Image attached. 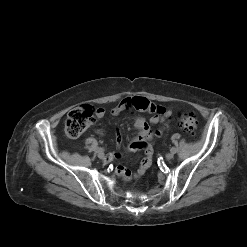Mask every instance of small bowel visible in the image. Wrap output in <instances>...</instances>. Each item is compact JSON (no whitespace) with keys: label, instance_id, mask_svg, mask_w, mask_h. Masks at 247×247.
Masks as SVG:
<instances>
[{"label":"small bowel","instance_id":"obj_1","mask_svg":"<svg viewBox=\"0 0 247 247\" xmlns=\"http://www.w3.org/2000/svg\"><path fill=\"white\" fill-rule=\"evenodd\" d=\"M126 110H137L141 112L151 113L149 120L144 117H135L134 126L137 130V136L134 137L128 144V150L135 152L138 150H143L146 154L141 162L137 172L133 173L123 165H117L115 168L116 174L124 180H131L132 178H137L145 173V171L151 165V157L153 153L152 142L155 138L160 137L162 134V129L152 130L151 124H164L166 120L171 117L172 110L167 109L161 105H157L149 101L145 97L134 96L126 97L117 105L111 107L109 112L112 115H118L119 113ZM106 114L104 108H98L96 110V117L102 119ZM99 134L102 133L101 130L97 131ZM122 143V136L119 130L116 133V146L119 149ZM115 158H121V153L117 152L114 155Z\"/></svg>","mask_w":247,"mask_h":247}]
</instances>
